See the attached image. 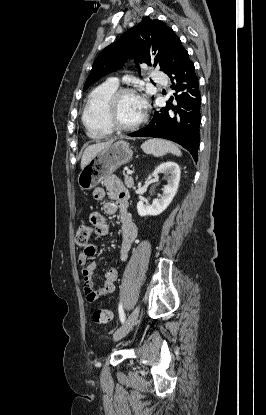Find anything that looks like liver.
<instances>
[{
	"mask_svg": "<svg viewBox=\"0 0 266 415\" xmlns=\"http://www.w3.org/2000/svg\"><path fill=\"white\" fill-rule=\"evenodd\" d=\"M113 143V140H109L107 142H100L97 144H93L88 146L81 158V169H83L94 157L97 153H99L104 148L108 147Z\"/></svg>",
	"mask_w": 266,
	"mask_h": 415,
	"instance_id": "obj_1",
	"label": "liver"
}]
</instances>
